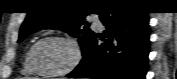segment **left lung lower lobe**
I'll return each mask as SVG.
<instances>
[{"instance_id":"left-lung-lower-lobe-1","label":"left lung lower lobe","mask_w":177,"mask_h":79,"mask_svg":"<svg viewBox=\"0 0 177 79\" xmlns=\"http://www.w3.org/2000/svg\"><path fill=\"white\" fill-rule=\"evenodd\" d=\"M99 15L107 29L105 35H94L82 61L67 77L145 79L149 54L147 13L112 6L105 7ZM97 37L104 43L98 45Z\"/></svg>"}]
</instances>
